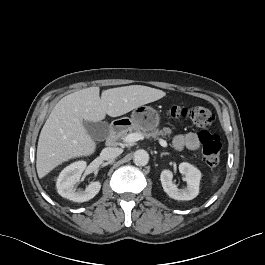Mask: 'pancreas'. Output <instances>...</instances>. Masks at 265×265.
<instances>
[{"instance_id":"obj_1","label":"pancreas","mask_w":265,"mask_h":265,"mask_svg":"<svg viewBox=\"0 0 265 265\" xmlns=\"http://www.w3.org/2000/svg\"><path fill=\"white\" fill-rule=\"evenodd\" d=\"M128 131L129 132L136 131L137 133L142 134V136L147 139L149 138L158 139L160 136L165 137L166 135H170L172 132L170 128H164L163 130L154 129L151 132H147V131L140 130L138 128L130 127L128 130L122 131L119 134H117V138L124 140L125 137L127 136Z\"/></svg>"}]
</instances>
